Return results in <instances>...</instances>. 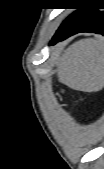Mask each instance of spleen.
Masks as SVG:
<instances>
[{
	"label": "spleen",
	"instance_id": "spleen-1",
	"mask_svg": "<svg viewBox=\"0 0 104 169\" xmlns=\"http://www.w3.org/2000/svg\"><path fill=\"white\" fill-rule=\"evenodd\" d=\"M57 76L61 83L71 89L100 91L104 85L102 39H82L69 46L58 63Z\"/></svg>",
	"mask_w": 104,
	"mask_h": 169
}]
</instances>
